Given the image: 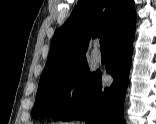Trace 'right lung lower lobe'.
Masks as SVG:
<instances>
[{"label": "right lung lower lobe", "mask_w": 156, "mask_h": 124, "mask_svg": "<svg viewBox=\"0 0 156 124\" xmlns=\"http://www.w3.org/2000/svg\"><path fill=\"white\" fill-rule=\"evenodd\" d=\"M135 27L115 39L109 48L110 62L107 73L114 78L109 88H102L101 72L85 93L82 101L74 106L61 121L86 120L87 124H124L123 102L131 66L132 43Z\"/></svg>", "instance_id": "98d812e1"}]
</instances>
